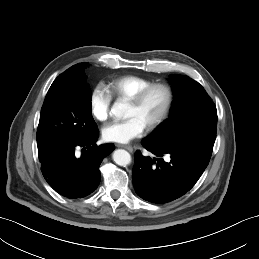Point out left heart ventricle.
<instances>
[{
    "label": "left heart ventricle",
    "instance_id": "obj_1",
    "mask_svg": "<svg viewBox=\"0 0 259 259\" xmlns=\"http://www.w3.org/2000/svg\"><path fill=\"white\" fill-rule=\"evenodd\" d=\"M164 102V92L160 89H155L148 94L141 105L135 107L128 104L126 117L138 118L147 127L160 114Z\"/></svg>",
    "mask_w": 259,
    "mask_h": 259
}]
</instances>
